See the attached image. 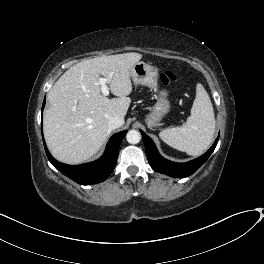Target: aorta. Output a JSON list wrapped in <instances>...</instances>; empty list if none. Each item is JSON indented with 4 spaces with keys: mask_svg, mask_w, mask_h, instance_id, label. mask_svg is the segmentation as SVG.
Wrapping results in <instances>:
<instances>
[{
    "mask_svg": "<svg viewBox=\"0 0 264 264\" xmlns=\"http://www.w3.org/2000/svg\"><path fill=\"white\" fill-rule=\"evenodd\" d=\"M126 139L130 144H137L141 140V134L137 130H130L126 135Z\"/></svg>",
    "mask_w": 264,
    "mask_h": 264,
    "instance_id": "762f6f07",
    "label": "aorta"
}]
</instances>
